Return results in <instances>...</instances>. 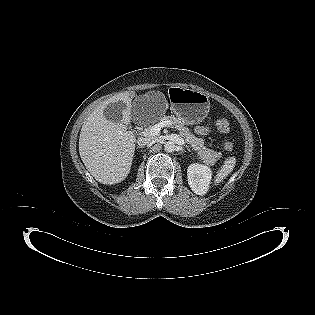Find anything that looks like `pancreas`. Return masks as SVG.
Wrapping results in <instances>:
<instances>
[{"instance_id": "cf45deb5", "label": "pancreas", "mask_w": 315, "mask_h": 315, "mask_svg": "<svg viewBox=\"0 0 315 315\" xmlns=\"http://www.w3.org/2000/svg\"><path fill=\"white\" fill-rule=\"evenodd\" d=\"M160 121H170L171 124L179 131V135L185 140L188 147L194 150L205 164L214 165L217 160L220 159L221 153L206 148L204 146V140L197 138L194 134H192L189 128L185 126V122L182 118L171 115L162 117Z\"/></svg>"}]
</instances>
